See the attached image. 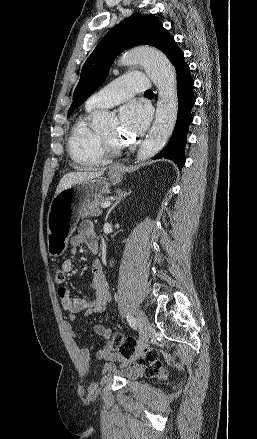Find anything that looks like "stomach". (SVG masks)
Listing matches in <instances>:
<instances>
[{"instance_id": "1", "label": "stomach", "mask_w": 257, "mask_h": 439, "mask_svg": "<svg viewBox=\"0 0 257 439\" xmlns=\"http://www.w3.org/2000/svg\"><path fill=\"white\" fill-rule=\"evenodd\" d=\"M108 180L121 181V172L110 171ZM106 179H91L69 186L54 196L47 216V245L52 257L61 256L68 247V239L76 228L84 205L109 191Z\"/></svg>"}]
</instances>
